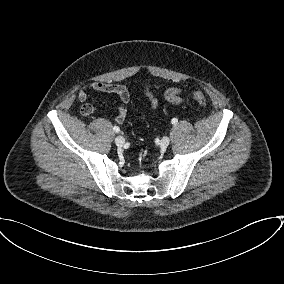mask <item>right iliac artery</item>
<instances>
[{
  "mask_svg": "<svg viewBox=\"0 0 284 284\" xmlns=\"http://www.w3.org/2000/svg\"><path fill=\"white\" fill-rule=\"evenodd\" d=\"M113 130H114V132H116V133H118V132L120 131V129H119L118 126H114V127H113Z\"/></svg>",
  "mask_w": 284,
  "mask_h": 284,
  "instance_id": "obj_1",
  "label": "right iliac artery"
}]
</instances>
